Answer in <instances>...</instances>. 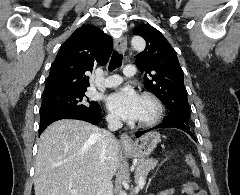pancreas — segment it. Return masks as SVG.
<instances>
[{
	"label": "pancreas",
	"mask_w": 240,
	"mask_h": 195,
	"mask_svg": "<svg viewBox=\"0 0 240 195\" xmlns=\"http://www.w3.org/2000/svg\"><path fill=\"white\" fill-rule=\"evenodd\" d=\"M158 165V159L149 157V159H138L135 171V181L138 183L139 177H146L150 169H154Z\"/></svg>",
	"instance_id": "pancreas-1"
}]
</instances>
